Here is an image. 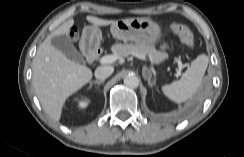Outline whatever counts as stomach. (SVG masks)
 Masks as SVG:
<instances>
[{
  "instance_id": "1",
  "label": "stomach",
  "mask_w": 244,
  "mask_h": 157,
  "mask_svg": "<svg viewBox=\"0 0 244 157\" xmlns=\"http://www.w3.org/2000/svg\"><path fill=\"white\" fill-rule=\"evenodd\" d=\"M111 33L114 38L135 42L136 45L150 46L157 42L161 35L160 25L150 18H126L117 20L111 25ZM101 40V32L98 27L87 26L82 35V44L89 43L91 45L99 44ZM163 54V59H167L168 55Z\"/></svg>"
}]
</instances>
